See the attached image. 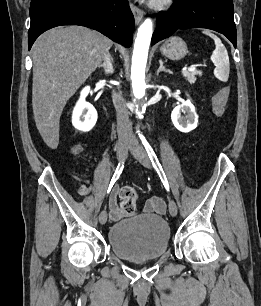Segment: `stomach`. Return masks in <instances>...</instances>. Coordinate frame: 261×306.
<instances>
[{
	"label": "stomach",
	"instance_id": "1",
	"mask_svg": "<svg viewBox=\"0 0 261 306\" xmlns=\"http://www.w3.org/2000/svg\"><path fill=\"white\" fill-rule=\"evenodd\" d=\"M160 51L165 57L171 60L182 59L188 53L186 43L177 36L170 37L160 48Z\"/></svg>",
	"mask_w": 261,
	"mask_h": 306
}]
</instances>
